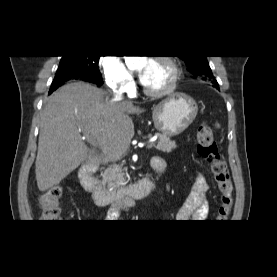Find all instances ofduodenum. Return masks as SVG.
I'll list each match as a JSON object with an SVG mask.
<instances>
[{"mask_svg":"<svg viewBox=\"0 0 277 277\" xmlns=\"http://www.w3.org/2000/svg\"><path fill=\"white\" fill-rule=\"evenodd\" d=\"M159 167H163V162L159 157ZM96 164L94 162L84 164L79 169V178L84 189L93 194L95 203L99 207L116 203L119 207L128 208L135 199H142L148 196L156 188V184L149 178H142L138 181L122 187L115 191H109L95 177L94 171Z\"/></svg>","mask_w":277,"mask_h":277,"instance_id":"obj_1","label":"duodenum"}]
</instances>
